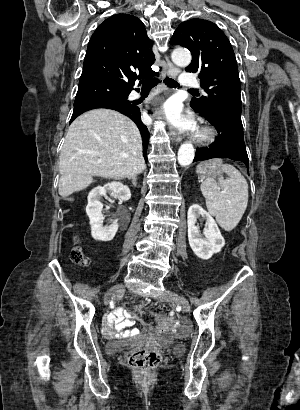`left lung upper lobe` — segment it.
<instances>
[{
	"label": "left lung upper lobe",
	"instance_id": "obj_1",
	"mask_svg": "<svg viewBox=\"0 0 300 410\" xmlns=\"http://www.w3.org/2000/svg\"><path fill=\"white\" fill-rule=\"evenodd\" d=\"M170 43L191 51L192 62L186 71L199 74L201 87L207 93L200 99L193 98L191 107L206 118L218 109L241 114L237 62L222 30L210 21L190 19L178 26Z\"/></svg>",
	"mask_w": 300,
	"mask_h": 410
}]
</instances>
